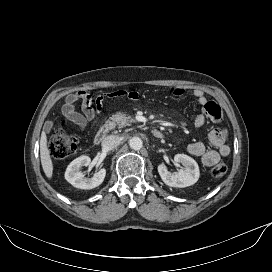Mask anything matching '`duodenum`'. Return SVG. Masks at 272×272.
<instances>
[{"label": "duodenum", "mask_w": 272, "mask_h": 272, "mask_svg": "<svg viewBox=\"0 0 272 272\" xmlns=\"http://www.w3.org/2000/svg\"><path fill=\"white\" fill-rule=\"evenodd\" d=\"M108 132H109V125L102 126L100 130L97 132V134L95 135V138H94L95 144L101 143L107 136ZM152 135L158 139L163 138V133L158 129L152 130Z\"/></svg>", "instance_id": "410a0bca"}]
</instances>
